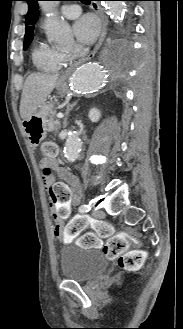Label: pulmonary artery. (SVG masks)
Listing matches in <instances>:
<instances>
[{
  "label": "pulmonary artery",
  "mask_w": 183,
  "mask_h": 329,
  "mask_svg": "<svg viewBox=\"0 0 183 329\" xmlns=\"http://www.w3.org/2000/svg\"><path fill=\"white\" fill-rule=\"evenodd\" d=\"M61 14L67 19H74L81 14V7L78 4H65L61 7Z\"/></svg>",
  "instance_id": "e3ab8cb5"
}]
</instances>
